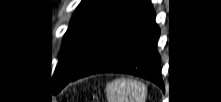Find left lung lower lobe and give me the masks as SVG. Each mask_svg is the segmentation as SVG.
<instances>
[{"label": "left lung lower lobe", "mask_w": 221, "mask_h": 102, "mask_svg": "<svg viewBox=\"0 0 221 102\" xmlns=\"http://www.w3.org/2000/svg\"><path fill=\"white\" fill-rule=\"evenodd\" d=\"M155 16L151 3L139 0L77 73L57 90L70 81L103 72L133 74L163 88L157 51L160 29L155 23Z\"/></svg>", "instance_id": "obj_1"}]
</instances>
